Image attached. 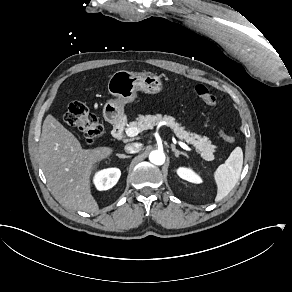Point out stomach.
<instances>
[{"instance_id":"0dacf381","label":"stomach","mask_w":292,"mask_h":292,"mask_svg":"<svg viewBox=\"0 0 292 292\" xmlns=\"http://www.w3.org/2000/svg\"><path fill=\"white\" fill-rule=\"evenodd\" d=\"M162 89L160 78L151 72H115L108 82V91L117 99L107 101L103 108L104 119L111 124H118L124 117V105L133 102L137 90L156 94Z\"/></svg>"}]
</instances>
